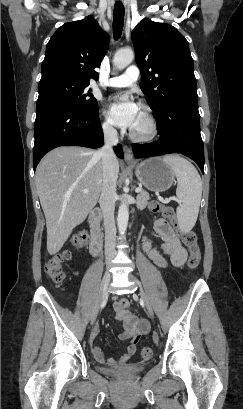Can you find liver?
Masks as SVG:
<instances>
[{
	"label": "liver",
	"instance_id": "liver-1",
	"mask_svg": "<svg viewBox=\"0 0 243 409\" xmlns=\"http://www.w3.org/2000/svg\"><path fill=\"white\" fill-rule=\"evenodd\" d=\"M119 172V164L116 162ZM103 166L98 151L63 146L47 153L37 166L35 183L46 218L47 251L61 250L73 229L97 204ZM88 190L84 194L83 190Z\"/></svg>",
	"mask_w": 243,
	"mask_h": 409
}]
</instances>
